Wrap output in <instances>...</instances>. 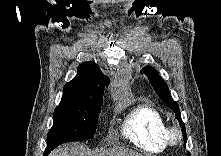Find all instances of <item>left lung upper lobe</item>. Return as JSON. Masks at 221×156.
I'll return each mask as SVG.
<instances>
[{
	"mask_svg": "<svg viewBox=\"0 0 221 156\" xmlns=\"http://www.w3.org/2000/svg\"><path fill=\"white\" fill-rule=\"evenodd\" d=\"M142 71L147 75L152 87L154 88L158 96L170 109H172L176 113L177 118H180L181 115L179 106L172 99L169 88L163 78L158 74V71L151 66L144 67Z\"/></svg>",
	"mask_w": 221,
	"mask_h": 156,
	"instance_id": "left-lung-upper-lobe-1",
	"label": "left lung upper lobe"
}]
</instances>
